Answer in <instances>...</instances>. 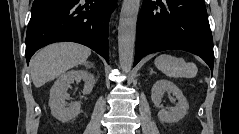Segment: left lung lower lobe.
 <instances>
[{"instance_id": "obj_1", "label": "left lung lower lobe", "mask_w": 239, "mask_h": 134, "mask_svg": "<svg viewBox=\"0 0 239 134\" xmlns=\"http://www.w3.org/2000/svg\"><path fill=\"white\" fill-rule=\"evenodd\" d=\"M172 49L200 56L213 71V40L204 0L143 1L134 66L147 54Z\"/></svg>"}]
</instances>
